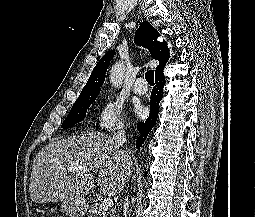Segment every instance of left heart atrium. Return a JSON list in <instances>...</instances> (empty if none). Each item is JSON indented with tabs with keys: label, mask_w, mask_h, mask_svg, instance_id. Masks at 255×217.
<instances>
[{
	"label": "left heart atrium",
	"mask_w": 255,
	"mask_h": 217,
	"mask_svg": "<svg viewBox=\"0 0 255 217\" xmlns=\"http://www.w3.org/2000/svg\"><path fill=\"white\" fill-rule=\"evenodd\" d=\"M135 112H136V114H137L138 116H142L143 113H144V110H143L142 107L138 106V107H136Z\"/></svg>",
	"instance_id": "1"
}]
</instances>
